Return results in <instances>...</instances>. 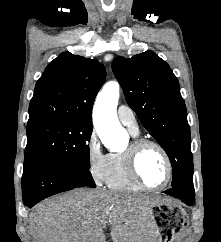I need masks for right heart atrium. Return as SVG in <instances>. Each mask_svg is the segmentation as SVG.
Returning <instances> with one entry per match:
<instances>
[{"mask_svg": "<svg viewBox=\"0 0 221 242\" xmlns=\"http://www.w3.org/2000/svg\"><path fill=\"white\" fill-rule=\"evenodd\" d=\"M86 158L88 170L96 184L105 181L109 154H105L95 131H92L86 141Z\"/></svg>", "mask_w": 221, "mask_h": 242, "instance_id": "obj_1", "label": "right heart atrium"}]
</instances>
